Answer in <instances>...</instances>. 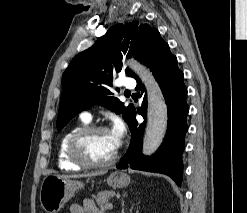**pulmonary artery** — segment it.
<instances>
[{"label":"pulmonary artery","instance_id":"pulmonary-artery-1","mask_svg":"<svg viewBox=\"0 0 247 213\" xmlns=\"http://www.w3.org/2000/svg\"><path fill=\"white\" fill-rule=\"evenodd\" d=\"M121 81H122V85H123L124 89H127V90L134 89V87H135L134 79H132L130 77H123V78H121ZM81 119L88 122L92 119V115L89 112L84 111L81 113Z\"/></svg>","mask_w":247,"mask_h":213}]
</instances>
